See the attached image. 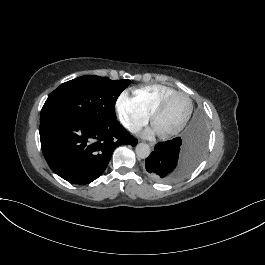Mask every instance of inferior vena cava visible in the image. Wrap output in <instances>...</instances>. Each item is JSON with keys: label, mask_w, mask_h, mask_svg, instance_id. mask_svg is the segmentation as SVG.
Here are the masks:
<instances>
[{"label": "inferior vena cava", "mask_w": 265, "mask_h": 265, "mask_svg": "<svg viewBox=\"0 0 265 265\" xmlns=\"http://www.w3.org/2000/svg\"><path fill=\"white\" fill-rule=\"evenodd\" d=\"M138 129H140V128H138V127H136V126H131V127L129 128V130H130L131 132H135V131H137Z\"/></svg>", "instance_id": "1"}]
</instances>
